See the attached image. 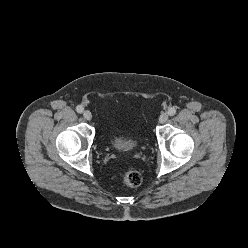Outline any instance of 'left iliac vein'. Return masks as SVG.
I'll list each match as a JSON object with an SVG mask.
<instances>
[{"instance_id":"obj_1","label":"left iliac vein","mask_w":248,"mask_h":248,"mask_svg":"<svg viewBox=\"0 0 248 248\" xmlns=\"http://www.w3.org/2000/svg\"><path fill=\"white\" fill-rule=\"evenodd\" d=\"M168 120V114L167 113H162L159 117V122L161 124L165 123Z\"/></svg>"}]
</instances>
